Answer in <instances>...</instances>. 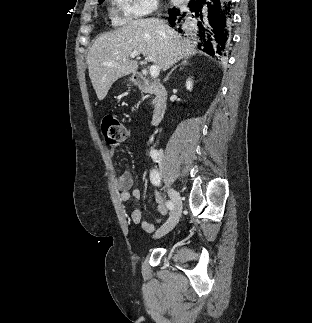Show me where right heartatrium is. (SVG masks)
I'll return each mask as SVG.
<instances>
[{
  "mask_svg": "<svg viewBox=\"0 0 312 323\" xmlns=\"http://www.w3.org/2000/svg\"><path fill=\"white\" fill-rule=\"evenodd\" d=\"M120 8L127 17H143L144 13H158L163 8L161 0H126Z\"/></svg>",
  "mask_w": 312,
  "mask_h": 323,
  "instance_id": "right-heart-atrium-1",
  "label": "right heart atrium"
}]
</instances>
